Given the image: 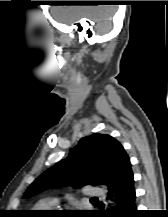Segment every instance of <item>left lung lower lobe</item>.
<instances>
[{
    "label": "left lung lower lobe",
    "mask_w": 168,
    "mask_h": 217,
    "mask_svg": "<svg viewBox=\"0 0 168 217\" xmlns=\"http://www.w3.org/2000/svg\"><path fill=\"white\" fill-rule=\"evenodd\" d=\"M127 175L124 181L117 187L110 190L109 194L115 199L118 210L107 212L113 217H135L136 204H135V188L134 176L131 171V164L127 166Z\"/></svg>",
    "instance_id": "0a47b994"
}]
</instances>
